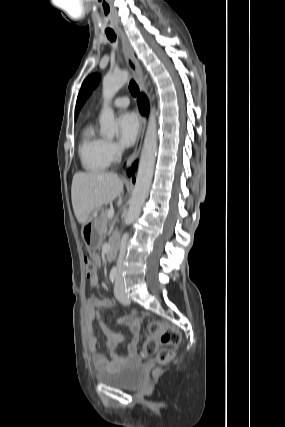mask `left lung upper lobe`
I'll use <instances>...</instances> for the list:
<instances>
[{"label":"left lung upper lobe","instance_id":"left-lung-upper-lobe-1","mask_svg":"<svg viewBox=\"0 0 285 427\" xmlns=\"http://www.w3.org/2000/svg\"><path fill=\"white\" fill-rule=\"evenodd\" d=\"M99 79H100V76L98 74H92L88 78H86V80L83 82L77 98L75 118L77 117L81 106L84 104L85 100L89 97L92 89H94L97 86Z\"/></svg>","mask_w":285,"mask_h":427}]
</instances>
